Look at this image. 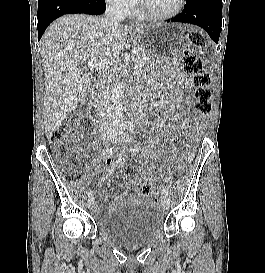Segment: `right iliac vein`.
<instances>
[{
  "mask_svg": "<svg viewBox=\"0 0 265 273\" xmlns=\"http://www.w3.org/2000/svg\"><path fill=\"white\" fill-rule=\"evenodd\" d=\"M115 140H116L115 136H109L108 137V141L113 142ZM93 206H94V200L92 198L88 199V201H87V207H88V209H92Z\"/></svg>",
  "mask_w": 265,
  "mask_h": 273,
  "instance_id": "right-iliac-vein-1",
  "label": "right iliac vein"
}]
</instances>
